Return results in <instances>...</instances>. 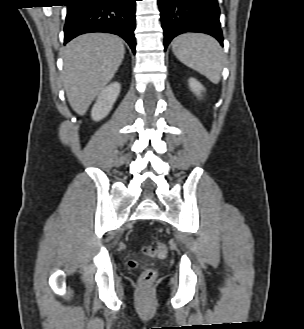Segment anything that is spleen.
<instances>
[{
  "instance_id": "1",
  "label": "spleen",
  "mask_w": 304,
  "mask_h": 329,
  "mask_svg": "<svg viewBox=\"0 0 304 329\" xmlns=\"http://www.w3.org/2000/svg\"><path fill=\"white\" fill-rule=\"evenodd\" d=\"M174 55L186 66L218 83L223 68V52L219 43L209 35L186 33L172 43Z\"/></svg>"
}]
</instances>
